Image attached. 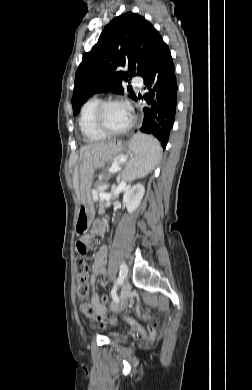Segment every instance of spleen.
<instances>
[{"label":"spleen","instance_id":"obj_1","mask_svg":"<svg viewBox=\"0 0 252 390\" xmlns=\"http://www.w3.org/2000/svg\"><path fill=\"white\" fill-rule=\"evenodd\" d=\"M129 147L134 156L127 163L123 178L132 182L154 169L161 158V148L157 139L145 134L134 136Z\"/></svg>","mask_w":252,"mask_h":390}]
</instances>
